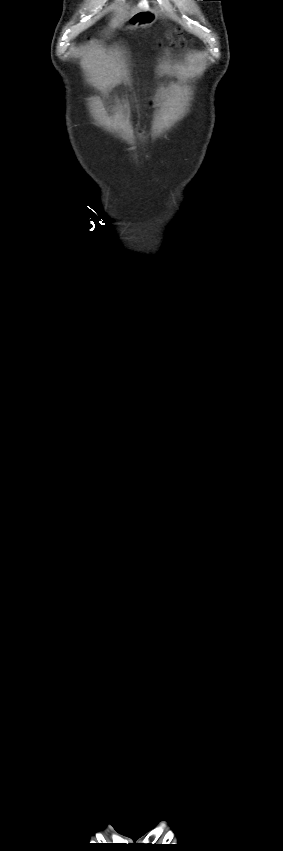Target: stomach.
<instances>
[{
    "label": "stomach",
    "instance_id": "1",
    "mask_svg": "<svg viewBox=\"0 0 283 851\" xmlns=\"http://www.w3.org/2000/svg\"><path fill=\"white\" fill-rule=\"evenodd\" d=\"M157 19L154 10H142L132 14L123 24L124 29L145 28L152 25Z\"/></svg>",
    "mask_w": 283,
    "mask_h": 851
}]
</instances>
